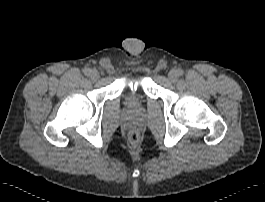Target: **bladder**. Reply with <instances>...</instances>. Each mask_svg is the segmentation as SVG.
<instances>
[{"label":"bladder","instance_id":"31cf9c89","mask_svg":"<svg viewBox=\"0 0 265 202\" xmlns=\"http://www.w3.org/2000/svg\"><path fill=\"white\" fill-rule=\"evenodd\" d=\"M136 98H137L136 93H130V94L128 95V100H129V101H134Z\"/></svg>","mask_w":265,"mask_h":202}]
</instances>
